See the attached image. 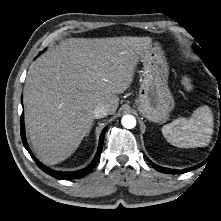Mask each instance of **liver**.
Instances as JSON below:
<instances>
[{"label":"liver","mask_w":221,"mask_h":221,"mask_svg":"<svg viewBox=\"0 0 221 221\" xmlns=\"http://www.w3.org/2000/svg\"><path fill=\"white\" fill-rule=\"evenodd\" d=\"M150 37L69 38L46 52L28 71L25 125L44 164L71 156L90 130L93 110L104 104L113 115Z\"/></svg>","instance_id":"liver-1"}]
</instances>
